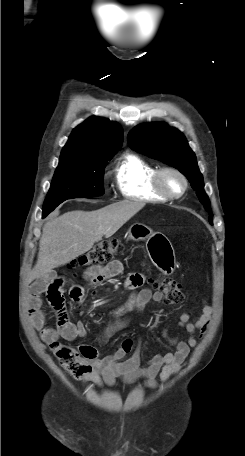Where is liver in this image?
I'll return each mask as SVG.
<instances>
[{"label": "liver", "mask_w": 245, "mask_h": 456, "mask_svg": "<svg viewBox=\"0 0 245 456\" xmlns=\"http://www.w3.org/2000/svg\"><path fill=\"white\" fill-rule=\"evenodd\" d=\"M144 206L142 201L125 200L95 211L55 213L43 226L38 259L27 283L46 278L54 268L89 251L103 236L111 237Z\"/></svg>", "instance_id": "liver-1"}]
</instances>
